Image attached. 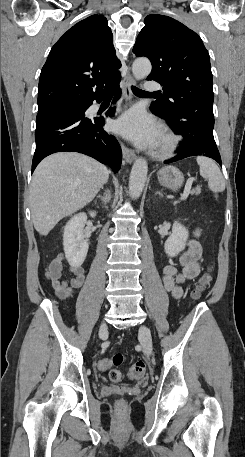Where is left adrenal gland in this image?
<instances>
[{
    "label": "left adrenal gland",
    "mask_w": 245,
    "mask_h": 457,
    "mask_svg": "<svg viewBox=\"0 0 245 457\" xmlns=\"http://www.w3.org/2000/svg\"><path fill=\"white\" fill-rule=\"evenodd\" d=\"M155 194H160V196H163L162 192L160 190H156Z\"/></svg>",
    "instance_id": "left-adrenal-gland-1"
}]
</instances>
